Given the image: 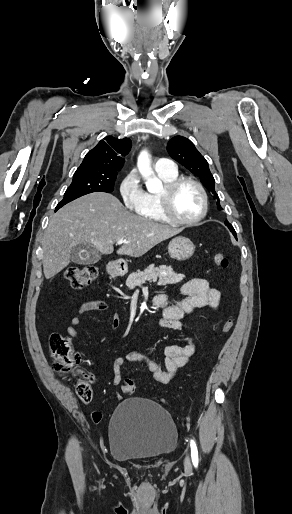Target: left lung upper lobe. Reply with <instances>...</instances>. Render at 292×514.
Wrapping results in <instances>:
<instances>
[{"instance_id": "obj_1", "label": "left lung upper lobe", "mask_w": 292, "mask_h": 514, "mask_svg": "<svg viewBox=\"0 0 292 514\" xmlns=\"http://www.w3.org/2000/svg\"><path fill=\"white\" fill-rule=\"evenodd\" d=\"M167 151L174 160L185 166L188 170L200 178L202 184L207 188V190L214 194L213 198L218 200V210H223V208L220 206L219 197L215 192V180L210 172L208 162L199 153L194 144L185 137L175 136L169 140ZM225 225L236 237V232L233 226L227 220L225 221Z\"/></svg>"}]
</instances>
